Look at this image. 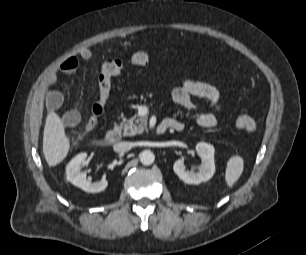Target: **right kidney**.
<instances>
[{
	"mask_svg": "<svg viewBox=\"0 0 306 255\" xmlns=\"http://www.w3.org/2000/svg\"><path fill=\"white\" fill-rule=\"evenodd\" d=\"M86 153L76 155L66 166V178L73 185L81 188L85 192L96 193L103 191L108 181L102 179L99 182H90L86 178V174L80 171L81 163L86 159Z\"/></svg>",
	"mask_w": 306,
	"mask_h": 255,
	"instance_id": "ca27d5eb",
	"label": "right kidney"
}]
</instances>
